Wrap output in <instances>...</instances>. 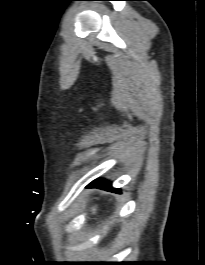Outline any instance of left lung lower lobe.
Masks as SVG:
<instances>
[{"label": "left lung lower lobe", "mask_w": 205, "mask_h": 265, "mask_svg": "<svg viewBox=\"0 0 205 265\" xmlns=\"http://www.w3.org/2000/svg\"><path fill=\"white\" fill-rule=\"evenodd\" d=\"M92 187H97L100 189H105V190L113 191L116 193H121L120 189L112 188L111 182L106 181L104 179H96L87 186V188H92Z\"/></svg>", "instance_id": "1"}]
</instances>
